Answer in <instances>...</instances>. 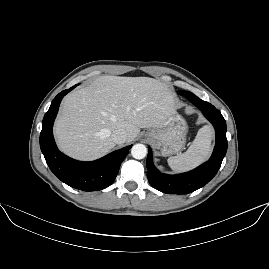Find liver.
<instances>
[{
	"instance_id": "obj_1",
	"label": "liver",
	"mask_w": 269,
	"mask_h": 269,
	"mask_svg": "<svg viewBox=\"0 0 269 269\" xmlns=\"http://www.w3.org/2000/svg\"><path fill=\"white\" fill-rule=\"evenodd\" d=\"M175 109L174 93L156 79L102 76L65 97L55 135L69 155L93 159L115 147V129L126 130L129 143L140 128L162 129Z\"/></svg>"
}]
</instances>
